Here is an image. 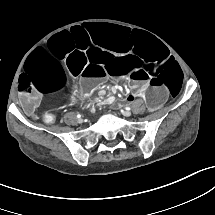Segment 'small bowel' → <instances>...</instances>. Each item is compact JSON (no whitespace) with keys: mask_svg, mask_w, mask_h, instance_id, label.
<instances>
[{"mask_svg":"<svg viewBox=\"0 0 215 215\" xmlns=\"http://www.w3.org/2000/svg\"><path fill=\"white\" fill-rule=\"evenodd\" d=\"M38 98L34 97V106L36 105Z\"/></svg>","mask_w":215,"mask_h":215,"instance_id":"1","label":"small bowel"}]
</instances>
